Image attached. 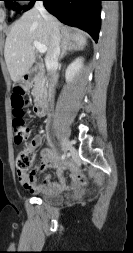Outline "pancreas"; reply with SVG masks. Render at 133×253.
I'll use <instances>...</instances> for the list:
<instances>
[{
    "instance_id": "1",
    "label": "pancreas",
    "mask_w": 133,
    "mask_h": 253,
    "mask_svg": "<svg viewBox=\"0 0 133 253\" xmlns=\"http://www.w3.org/2000/svg\"><path fill=\"white\" fill-rule=\"evenodd\" d=\"M44 91H45V78L42 75H37L34 78V87L32 90V95L35 98V101Z\"/></svg>"
}]
</instances>
